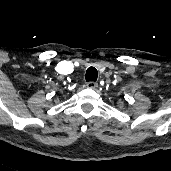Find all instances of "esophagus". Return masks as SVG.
<instances>
[{"mask_svg":"<svg viewBox=\"0 0 171 171\" xmlns=\"http://www.w3.org/2000/svg\"><path fill=\"white\" fill-rule=\"evenodd\" d=\"M86 86L90 89H95L98 86V83L95 81H89L87 82Z\"/></svg>","mask_w":171,"mask_h":171,"instance_id":"obj_1","label":"esophagus"}]
</instances>
